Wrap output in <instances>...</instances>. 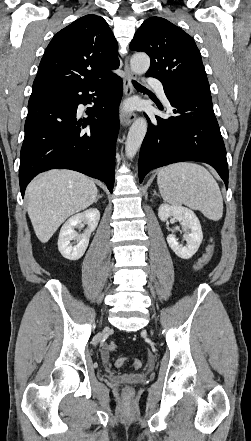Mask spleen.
<instances>
[{"mask_svg": "<svg viewBox=\"0 0 251 441\" xmlns=\"http://www.w3.org/2000/svg\"><path fill=\"white\" fill-rule=\"evenodd\" d=\"M157 183L163 200L171 205H186L200 210L205 217L218 221L223 215L220 188L203 166L180 162L159 170Z\"/></svg>", "mask_w": 251, "mask_h": 441, "instance_id": "1", "label": "spleen"}]
</instances>
